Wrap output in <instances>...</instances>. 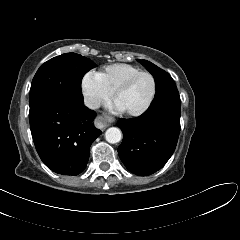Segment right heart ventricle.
I'll return each instance as SVG.
<instances>
[{"instance_id":"right-heart-ventricle-1","label":"right heart ventricle","mask_w":240,"mask_h":240,"mask_svg":"<svg viewBox=\"0 0 240 240\" xmlns=\"http://www.w3.org/2000/svg\"><path fill=\"white\" fill-rule=\"evenodd\" d=\"M140 71L141 68L135 65L113 64L106 66L97 75L112 92H115L124 81Z\"/></svg>"}]
</instances>
